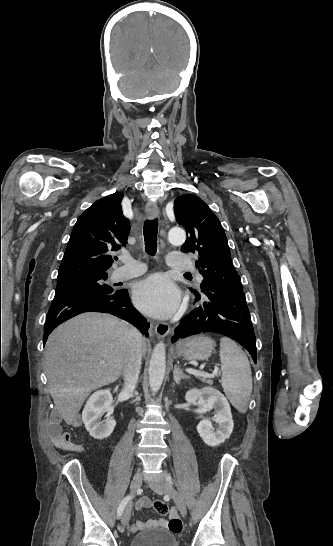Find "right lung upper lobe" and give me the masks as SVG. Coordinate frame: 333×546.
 <instances>
[{
  "mask_svg": "<svg viewBox=\"0 0 333 546\" xmlns=\"http://www.w3.org/2000/svg\"><path fill=\"white\" fill-rule=\"evenodd\" d=\"M122 198L119 192L108 195L81 214L68 241L58 280L106 273L113 262L109 253L126 245L131 228L122 213Z\"/></svg>",
  "mask_w": 333,
  "mask_h": 546,
  "instance_id": "cb5924a9",
  "label": "right lung upper lobe"
}]
</instances>
